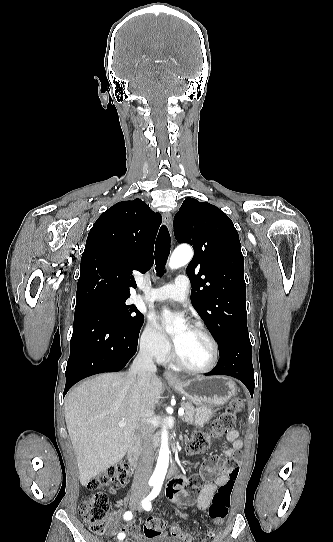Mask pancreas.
Returning a JSON list of instances; mask_svg holds the SVG:
<instances>
[{
  "instance_id": "obj_1",
  "label": "pancreas",
  "mask_w": 333,
  "mask_h": 542,
  "mask_svg": "<svg viewBox=\"0 0 333 542\" xmlns=\"http://www.w3.org/2000/svg\"><path fill=\"white\" fill-rule=\"evenodd\" d=\"M181 408H184V416H180L181 420H183V422H188V424H193V420L195 416V408L193 404H189V402H182ZM153 442H154V448H158V442H159L158 434H155V436H153Z\"/></svg>"
}]
</instances>
